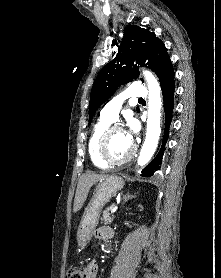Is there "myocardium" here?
Returning a JSON list of instances; mask_svg holds the SVG:
<instances>
[{
	"instance_id": "f54148a6",
	"label": "myocardium",
	"mask_w": 221,
	"mask_h": 278,
	"mask_svg": "<svg viewBox=\"0 0 221 278\" xmlns=\"http://www.w3.org/2000/svg\"><path fill=\"white\" fill-rule=\"evenodd\" d=\"M116 130L123 131V128L119 125H110L109 127L106 128V130L103 132L99 139L98 143V156L100 160L105 163L108 166H121L133 159V157L136 154V146L132 145V149L130 153L123 159L121 160H113L108 156V144H109V139L112 135V133Z\"/></svg>"
}]
</instances>
